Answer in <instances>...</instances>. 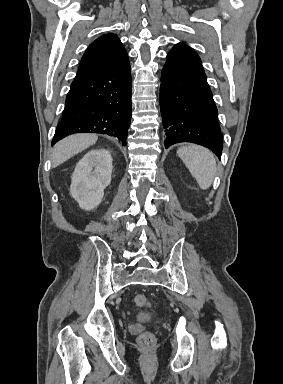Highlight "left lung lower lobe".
<instances>
[{"label": "left lung lower lobe", "instance_id": "left-lung-lower-lobe-1", "mask_svg": "<svg viewBox=\"0 0 283 384\" xmlns=\"http://www.w3.org/2000/svg\"><path fill=\"white\" fill-rule=\"evenodd\" d=\"M159 100L166 148L192 142L221 158L222 134L212 92L199 56L183 43L176 44L167 55Z\"/></svg>", "mask_w": 283, "mask_h": 384}]
</instances>
